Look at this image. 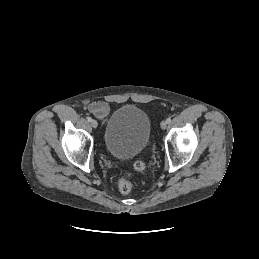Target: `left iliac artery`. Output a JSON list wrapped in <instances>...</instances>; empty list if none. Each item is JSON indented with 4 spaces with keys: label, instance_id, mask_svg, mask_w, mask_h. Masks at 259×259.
Listing matches in <instances>:
<instances>
[{
    "label": "left iliac artery",
    "instance_id": "obj_1",
    "mask_svg": "<svg viewBox=\"0 0 259 259\" xmlns=\"http://www.w3.org/2000/svg\"><path fill=\"white\" fill-rule=\"evenodd\" d=\"M166 122H167V123H170V122H171V118H167V119H166Z\"/></svg>",
    "mask_w": 259,
    "mask_h": 259
}]
</instances>
